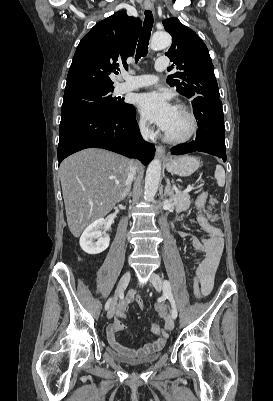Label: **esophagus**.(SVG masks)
Returning <instances> with one entry per match:
<instances>
[{"instance_id":"1","label":"esophagus","mask_w":273,"mask_h":401,"mask_svg":"<svg viewBox=\"0 0 273 401\" xmlns=\"http://www.w3.org/2000/svg\"><path fill=\"white\" fill-rule=\"evenodd\" d=\"M144 7L146 10H151L152 9V5L150 3H145ZM165 147L164 146H157L156 147V155L160 158H165Z\"/></svg>"}]
</instances>
